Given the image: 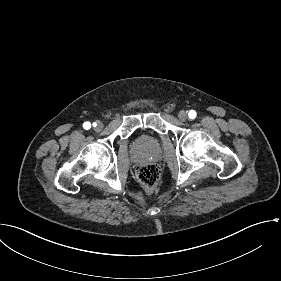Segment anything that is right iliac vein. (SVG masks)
Wrapping results in <instances>:
<instances>
[{
	"mask_svg": "<svg viewBox=\"0 0 281 281\" xmlns=\"http://www.w3.org/2000/svg\"><path fill=\"white\" fill-rule=\"evenodd\" d=\"M103 129V124L101 122H97L95 130L96 131H101Z\"/></svg>",
	"mask_w": 281,
	"mask_h": 281,
	"instance_id": "1",
	"label": "right iliac vein"
}]
</instances>
